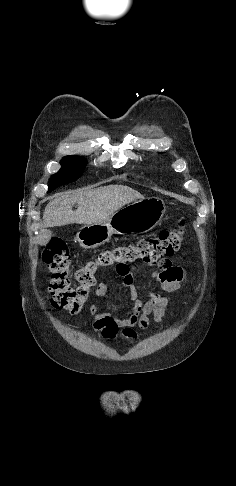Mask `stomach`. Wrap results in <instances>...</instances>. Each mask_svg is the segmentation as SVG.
<instances>
[{
  "instance_id": "obj_1",
  "label": "stomach",
  "mask_w": 236,
  "mask_h": 486,
  "mask_svg": "<svg viewBox=\"0 0 236 486\" xmlns=\"http://www.w3.org/2000/svg\"><path fill=\"white\" fill-rule=\"evenodd\" d=\"M166 211L165 203L157 197L133 201L100 223L84 225L76 234L79 245L85 249L99 247L113 234H134L150 231L158 225Z\"/></svg>"
}]
</instances>
